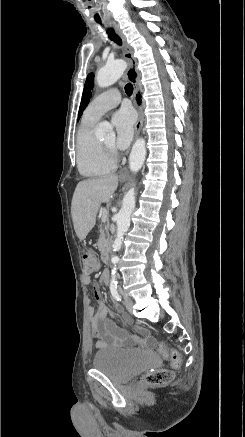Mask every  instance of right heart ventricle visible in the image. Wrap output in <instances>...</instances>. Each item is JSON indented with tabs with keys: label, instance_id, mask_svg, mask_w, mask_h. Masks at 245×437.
<instances>
[{
	"label": "right heart ventricle",
	"instance_id": "right-heart-ventricle-1",
	"mask_svg": "<svg viewBox=\"0 0 245 437\" xmlns=\"http://www.w3.org/2000/svg\"><path fill=\"white\" fill-rule=\"evenodd\" d=\"M96 119L83 116L76 135V162L81 175L99 178L115 168L114 160L102 149L94 134Z\"/></svg>",
	"mask_w": 245,
	"mask_h": 437
}]
</instances>
